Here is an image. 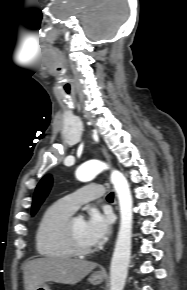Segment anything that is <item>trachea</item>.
<instances>
[{
  "instance_id": "3493384b",
  "label": "trachea",
  "mask_w": 187,
  "mask_h": 290,
  "mask_svg": "<svg viewBox=\"0 0 187 290\" xmlns=\"http://www.w3.org/2000/svg\"><path fill=\"white\" fill-rule=\"evenodd\" d=\"M114 194L111 192L107 195V200H113Z\"/></svg>"
}]
</instances>
